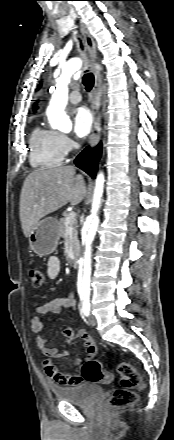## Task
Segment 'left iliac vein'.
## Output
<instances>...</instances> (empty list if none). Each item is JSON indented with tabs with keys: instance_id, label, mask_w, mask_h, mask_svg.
<instances>
[{
	"instance_id": "obj_1",
	"label": "left iliac vein",
	"mask_w": 174,
	"mask_h": 440,
	"mask_svg": "<svg viewBox=\"0 0 174 440\" xmlns=\"http://www.w3.org/2000/svg\"><path fill=\"white\" fill-rule=\"evenodd\" d=\"M88 320H89L90 325H92V326H95L97 323L96 317L94 315H90Z\"/></svg>"
}]
</instances>
